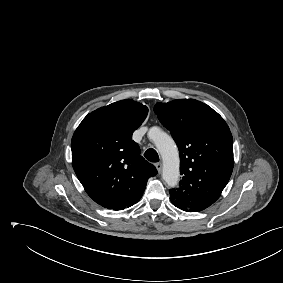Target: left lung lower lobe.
I'll return each mask as SVG.
<instances>
[{
	"mask_svg": "<svg viewBox=\"0 0 283 283\" xmlns=\"http://www.w3.org/2000/svg\"><path fill=\"white\" fill-rule=\"evenodd\" d=\"M171 202L173 203V205H175L177 208L183 210V211H187V212H191L189 209H187L186 207H183L181 205H179L178 203H176L175 201L171 200Z\"/></svg>",
	"mask_w": 283,
	"mask_h": 283,
	"instance_id": "obj_1",
	"label": "left lung lower lobe"
}]
</instances>
